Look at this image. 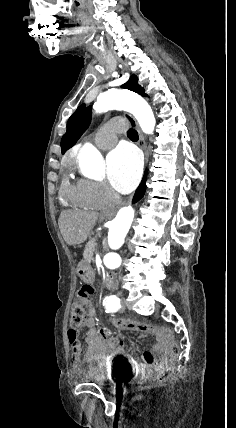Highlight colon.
I'll list each match as a JSON object with an SVG mask.
<instances>
[{"mask_svg": "<svg viewBox=\"0 0 236 428\" xmlns=\"http://www.w3.org/2000/svg\"><path fill=\"white\" fill-rule=\"evenodd\" d=\"M93 294V288L90 285H83L77 291L71 309V328L68 331V338L71 342H75L78 335V329L82 326L86 319V312L89 307V299ZM113 327L129 328L139 331L143 335L156 336L168 349L170 356V363L162 367L157 373L150 376L151 383H161L166 381L173 372V363L178 359L180 348L174 337L163 330L143 325L136 322L125 321H110Z\"/></svg>", "mask_w": 236, "mask_h": 428, "instance_id": "5ec220e1", "label": "colon"}]
</instances>
